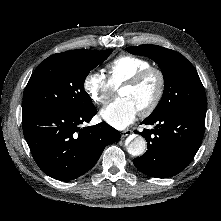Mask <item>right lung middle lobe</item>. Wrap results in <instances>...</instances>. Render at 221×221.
Instances as JSON below:
<instances>
[{
    "label": "right lung middle lobe",
    "instance_id": "right-lung-middle-lobe-1",
    "mask_svg": "<svg viewBox=\"0 0 221 221\" xmlns=\"http://www.w3.org/2000/svg\"><path fill=\"white\" fill-rule=\"evenodd\" d=\"M112 50L62 52L42 61L24 91L22 110L83 112L94 108L84 90L89 72L108 58Z\"/></svg>",
    "mask_w": 221,
    "mask_h": 221
}]
</instances>
